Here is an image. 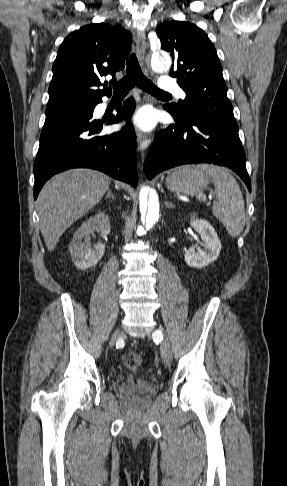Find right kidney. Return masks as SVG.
<instances>
[{"mask_svg":"<svg viewBox=\"0 0 287 486\" xmlns=\"http://www.w3.org/2000/svg\"><path fill=\"white\" fill-rule=\"evenodd\" d=\"M95 230L100 231L103 236L110 233V220L104 212H99L87 219L73 235L69 252L75 266L80 270L96 265L104 255L105 244L99 242L94 249L87 245L90 234Z\"/></svg>","mask_w":287,"mask_h":486,"instance_id":"obj_1","label":"right kidney"}]
</instances>
